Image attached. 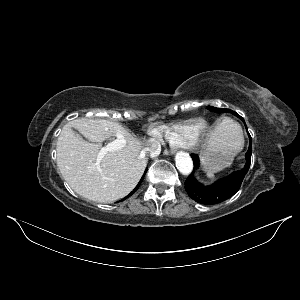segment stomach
<instances>
[{"instance_id": "obj_1", "label": "stomach", "mask_w": 300, "mask_h": 300, "mask_svg": "<svg viewBox=\"0 0 300 300\" xmlns=\"http://www.w3.org/2000/svg\"><path fill=\"white\" fill-rule=\"evenodd\" d=\"M226 131L231 137L229 140L219 141L215 146L206 147L201 154L204 168L211 172L228 167L234 156L242 149L243 140L235 137L228 128Z\"/></svg>"}]
</instances>
